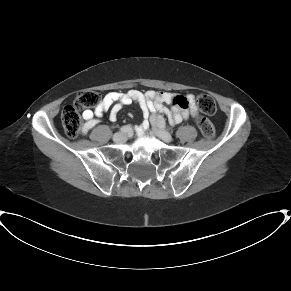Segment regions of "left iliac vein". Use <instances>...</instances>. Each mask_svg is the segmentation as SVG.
<instances>
[{
	"label": "left iliac vein",
	"mask_w": 291,
	"mask_h": 291,
	"mask_svg": "<svg viewBox=\"0 0 291 291\" xmlns=\"http://www.w3.org/2000/svg\"><path fill=\"white\" fill-rule=\"evenodd\" d=\"M152 129L155 132V134L164 142L170 143L172 141V136L169 132L164 130L163 128H160L159 126L155 125L152 122Z\"/></svg>",
	"instance_id": "1"
}]
</instances>
